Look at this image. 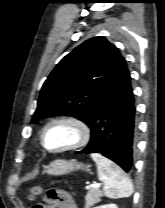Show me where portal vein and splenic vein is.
Here are the masks:
<instances>
[{
	"instance_id": "18ae733b",
	"label": "portal vein and splenic vein",
	"mask_w": 165,
	"mask_h": 208,
	"mask_svg": "<svg viewBox=\"0 0 165 208\" xmlns=\"http://www.w3.org/2000/svg\"><path fill=\"white\" fill-rule=\"evenodd\" d=\"M101 186L100 183H93V184H90V185H87V189H90V188H99Z\"/></svg>"
}]
</instances>
